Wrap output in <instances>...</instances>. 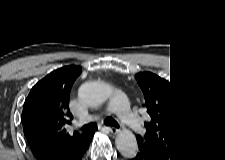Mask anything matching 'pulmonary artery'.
Returning a JSON list of instances; mask_svg holds the SVG:
<instances>
[{
	"label": "pulmonary artery",
	"mask_w": 225,
	"mask_h": 160,
	"mask_svg": "<svg viewBox=\"0 0 225 160\" xmlns=\"http://www.w3.org/2000/svg\"><path fill=\"white\" fill-rule=\"evenodd\" d=\"M108 109L117 112L123 121L129 125L135 132L143 133L142 120L136 115L129 113V102L126 95L118 92L111 100Z\"/></svg>",
	"instance_id": "pulmonary-artery-1"
}]
</instances>
